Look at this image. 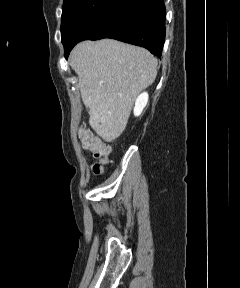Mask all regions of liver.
<instances>
[{
    "instance_id": "obj_1",
    "label": "liver",
    "mask_w": 240,
    "mask_h": 288,
    "mask_svg": "<svg viewBox=\"0 0 240 288\" xmlns=\"http://www.w3.org/2000/svg\"><path fill=\"white\" fill-rule=\"evenodd\" d=\"M157 59L146 49L113 39L83 41L71 52L90 125L106 142L124 131L134 101L157 76Z\"/></svg>"
}]
</instances>
